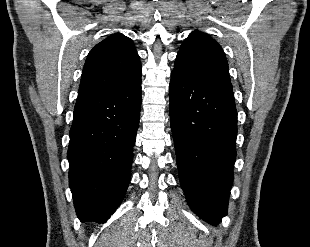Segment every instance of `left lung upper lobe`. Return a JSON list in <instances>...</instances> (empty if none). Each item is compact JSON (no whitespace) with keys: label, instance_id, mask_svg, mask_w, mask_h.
<instances>
[{"label":"left lung upper lobe","instance_id":"1","mask_svg":"<svg viewBox=\"0 0 310 247\" xmlns=\"http://www.w3.org/2000/svg\"><path fill=\"white\" fill-rule=\"evenodd\" d=\"M174 71L232 89L223 49L209 35L200 31L192 32L183 42Z\"/></svg>","mask_w":310,"mask_h":247}]
</instances>
